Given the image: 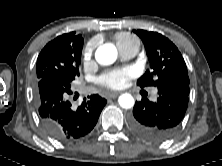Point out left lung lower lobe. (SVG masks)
Here are the masks:
<instances>
[{
    "mask_svg": "<svg viewBox=\"0 0 222 166\" xmlns=\"http://www.w3.org/2000/svg\"><path fill=\"white\" fill-rule=\"evenodd\" d=\"M159 97L136 102L130 125L133 131L151 142L170 139L177 132L188 106L189 84L168 81L159 85Z\"/></svg>",
    "mask_w": 222,
    "mask_h": 166,
    "instance_id": "0a47b994",
    "label": "left lung lower lobe"
}]
</instances>
